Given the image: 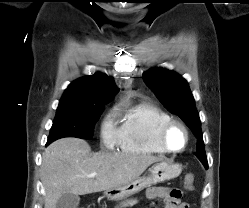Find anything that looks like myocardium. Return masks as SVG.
Listing matches in <instances>:
<instances>
[{
    "instance_id": "myocardium-1",
    "label": "myocardium",
    "mask_w": 249,
    "mask_h": 208,
    "mask_svg": "<svg viewBox=\"0 0 249 208\" xmlns=\"http://www.w3.org/2000/svg\"><path fill=\"white\" fill-rule=\"evenodd\" d=\"M175 127L181 128L185 134L184 145L181 148H177V149L170 147L168 142H167L168 133ZM189 140H190V134H189L188 128L186 127V125L184 123H182L181 121H178V120L172 119V120L166 122L165 124H163L160 127V129L158 130V133H157L158 144L161 146V148L163 150H165L166 152H169V153H179V152L184 151L189 144Z\"/></svg>"
}]
</instances>
